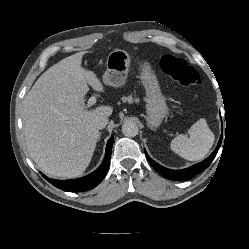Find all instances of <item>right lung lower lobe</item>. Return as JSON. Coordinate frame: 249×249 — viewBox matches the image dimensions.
Returning a JSON list of instances; mask_svg holds the SVG:
<instances>
[{"instance_id":"right-lung-lower-lobe-1","label":"right lung lower lobe","mask_w":249,"mask_h":249,"mask_svg":"<svg viewBox=\"0 0 249 249\" xmlns=\"http://www.w3.org/2000/svg\"><path fill=\"white\" fill-rule=\"evenodd\" d=\"M112 144H113V136H111L107 142L105 158L101 166L98 169H96L94 172L85 177L75 180L60 181L55 179H48L44 174L42 173L41 174L45 179H47L50 183H52V185L64 191L83 192L91 190L103 180L108 171L111 159Z\"/></svg>"}]
</instances>
